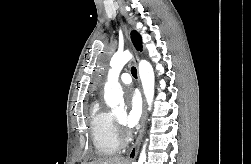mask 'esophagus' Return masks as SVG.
Returning a JSON list of instances; mask_svg holds the SVG:
<instances>
[{
	"instance_id": "obj_1",
	"label": "esophagus",
	"mask_w": 251,
	"mask_h": 164,
	"mask_svg": "<svg viewBox=\"0 0 251 164\" xmlns=\"http://www.w3.org/2000/svg\"><path fill=\"white\" fill-rule=\"evenodd\" d=\"M124 28V31L126 33V35L129 37V32H128V28L126 27V25L123 26ZM133 51V54H134V63L136 65H138V54H137V51L133 48L132 49ZM145 117H146V111H145V102L143 100V112H142V116H141V125H140V131H139V134H138V137L134 143V145L132 146L129 154H128V161H133L137 154H138V150H139V147H140V143H141V140H142V136H143V132H144V126H145Z\"/></svg>"
}]
</instances>
